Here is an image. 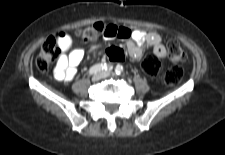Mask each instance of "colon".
Segmentation results:
<instances>
[{"mask_svg":"<svg viewBox=\"0 0 225 155\" xmlns=\"http://www.w3.org/2000/svg\"><path fill=\"white\" fill-rule=\"evenodd\" d=\"M110 31L109 24L97 22L87 27L77 29L75 35L83 43H91L99 36L104 35ZM167 50L169 59L175 63L173 67L168 69L164 74V81L168 85L178 83L183 77V70L178 63L186 60L187 54L178 41L171 39L167 42ZM60 53V48L56 44V35L47 38L41 46L40 52L36 58L37 68L44 72L47 71L51 65L57 60ZM106 55L109 59L115 62H121L125 58L123 50L116 46H110L106 50ZM159 62L154 59H147L141 65L142 71L146 75H156L159 70Z\"/></svg>","mask_w":225,"mask_h":155,"instance_id":"obj_1","label":"colon"}]
</instances>
